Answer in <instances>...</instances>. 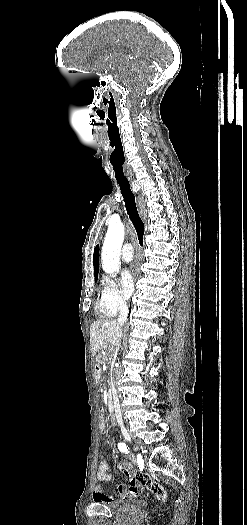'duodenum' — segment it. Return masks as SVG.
<instances>
[{"mask_svg": "<svg viewBox=\"0 0 247 525\" xmlns=\"http://www.w3.org/2000/svg\"><path fill=\"white\" fill-rule=\"evenodd\" d=\"M94 373H95L96 377H98V378L100 377V375H101V368H100L99 365H95ZM107 404H108L109 412L113 413L114 412V402H113V396H112L111 392L108 393Z\"/></svg>", "mask_w": 247, "mask_h": 525, "instance_id": "410a0bca", "label": "duodenum"}]
</instances>
